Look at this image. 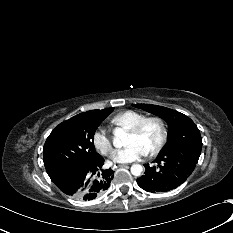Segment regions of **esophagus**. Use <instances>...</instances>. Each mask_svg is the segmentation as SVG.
<instances>
[{"label":"esophagus","instance_id":"obj_1","mask_svg":"<svg viewBox=\"0 0 233 233\" xmlns=\"http://www.w3.org/2000/svg\"><path fill=\"white\" fill-rule=\"evenodd\" d=\"M118 166H119V167H124V166H125V164H118Z\"/></svg>","mask_w":233,"mask_h":233}]
</instances>
